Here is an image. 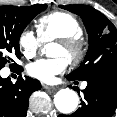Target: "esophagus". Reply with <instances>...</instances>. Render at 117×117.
Instances as JSON below:
<instances>
[{
    "instance_id": "34e87169",
    "label": "esophagus",
    "mask_w": 117,
    "mask_h": 117,
    "mask_svg": "<svg viewBox=\"0 0 117 117\" xmlns=\"http://www.w3.org/2000/svg\"><path fill=\"white\" fill-rule=\"evenodd\" d=\"M42 87H43V89H46V90H55V89H57V87L49 86V85H46V84H42Z\"/></svg>"
}]
</instances>
